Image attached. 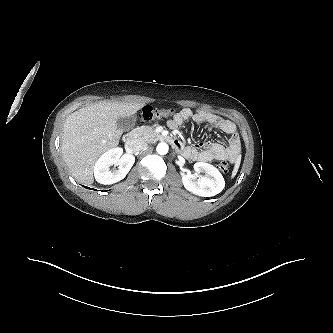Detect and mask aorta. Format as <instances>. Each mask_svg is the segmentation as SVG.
<instances>
[{"label": "aorta", "mask_w": 333, "mask_h": 333, "mask_svg": "<svg viewBox=\"0 0 333 333\" xmlns=\"http://www.w3.org/2000/svg\"><path fill=\"white\" fill-rule=\"evenodd\" d=\"M168 150H169V146L168 144H166L165 142H161L157 145L156 147V151L158 154L160 155H165L168 153Z\"/></svg>", "instance_id": "1"}]
</instances>
